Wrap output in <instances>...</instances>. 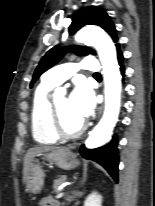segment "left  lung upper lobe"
<instances>
[{
  "instance_id": "5c2ea615",
  "label": "left lung upper lobe",
  "mask_w": 155,
  "mask_h": 206,
  "mask_svg": "<svg viewBox=\"0 0 155 206\" xmlns=\"http://www.w3.org/2000/svg\"><path fill=\"white\" fill-rule=\"evenodd\" d=\"M88 24L100 26L112 37L114 42H117L118 38L116 34V29L110 17L105 11L97 7H87L78 11L72 17V23L69 27V33L74 34L81 27ZM117 45L119 44H116V46ZM73 50L76 52V54L81 56H85L89 53L95 54V52L88 47H73ZM63 55H64V50H62L58 46H55L52 49H50L42 57L39 65L37 66L33 74L30 87L33 86V84L41 76V74H43L49 68L54 66L62 58Z\"/></svg>"
}]
</instances>
